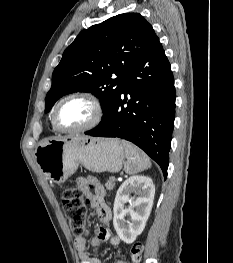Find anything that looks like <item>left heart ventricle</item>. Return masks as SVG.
I'll return each instance as SVG.
<instances>
[{
    "label": "left heart ventricle",
    "instance_id": "1",
    "mask_svg": "<svg viewBox=\"0 0 233 263\" xmlns=\"http://www.w3.org/2000/svg\"><path fill=\"white\" fill-rule=\"evenodd\" d=\"M91 104L81 98L65 101L58 110V123L65 129H77L87 124L93 117Z\"/></svg>",
    "mask_w": 233,
    "mask_h": 263
}]
</instances>
